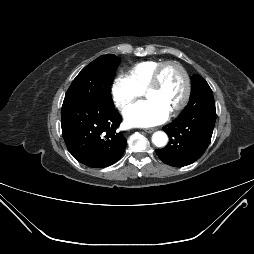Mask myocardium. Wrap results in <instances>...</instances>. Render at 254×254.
<instances>
[{"label":"myocardium","instance_id":"1","mask_svg":"<svg viewBox=\"0 0 254 254\" xmlns=\"http://www.w3.org/2000/svg\"><path fill=\"white\" fill-rule=\"evenodd\" d=\"M168 66H173V67L177 68L180 71V73L182 74L183 81H184V91H183L181 100L170 112L171 115H174V114L178 113L181 109L184 108V106L186 105V103L189 99L190 92H191V83H190L189 75H188L186 69L180 63H178L176 61H172V60L162 62L156 68V70L153 74V77H152L148 87L146 88V94L149 91L156 89L160 85L162 73Z\"/></svg>","mask_w":254,"mask_h":254}]
</instances>
